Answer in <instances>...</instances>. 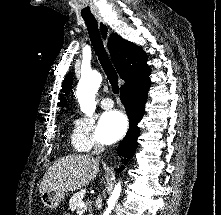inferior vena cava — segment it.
Listing matches in <instances>:
<instances>
[{
    "mask_svg": "<svg viewBox=\"0 0 221 215\" xmlns=\"http://www.w3.org/2000/svg\"><path fill=\"white\" fill-rule=\"evenodd\" d=\"M105 150V147L103 144H100V143H97L95 144L94 148H93V151L91 153V155H100L102 152H104Z\"/></svg>",
    "mask_w": 221,
    "mask_h": 215,
    "instance_id": "1",
    "label": "inferior vena cava"
}]
</instances>
